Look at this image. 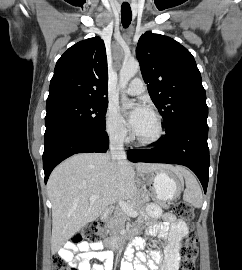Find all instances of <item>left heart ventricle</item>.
I'll return each mask as SVG.
<instances>
[{"label":"left heart ventricle","instance_id":"b2bd125f","mask_svg":"<svg viewBox=\"0 0 242 270\" xmlns=\"http://www.w3.org/2000/svg\"><path fill=\"white\" fill-rule=\"evenodd\" d=\"M134 132L135 135L141 139H150L155 136L157 124L151 113L143 120L141 125L134 130Z\"/></svg>","mask_w":242,"mask_h":270}]
</instances>
